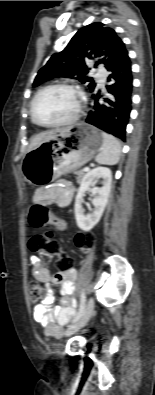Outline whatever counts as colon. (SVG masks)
<instances>
[{
    "mask_svg": "<svg viewBox=\"0 0 155 395\" xmlns=\"http://www.w3.org/2000/svg\"><path fill=\"white\" fill-rule=\"evenodd\" d=\"M29 222L33 227H43L48 223V211L40 204L34 205L29 213ZM75 244L82 250H88L94 242V238L90 234H77L75 236ZM29 249L33 252H40L47 256H57L59 264L62 266L63 272H75L76 266L72 259H70L68 250H61L57 241L52 240L49 236L36 234L31 237L28 243ZM30 298L36 302L43 298L45 290L43 286L31 281L29 284Z\"/></svg>",
    "mask_w": 155,
    "mask_h": 395,
    "instance_id": "colon-1",
    "label": "colon"
}]
</instances>
